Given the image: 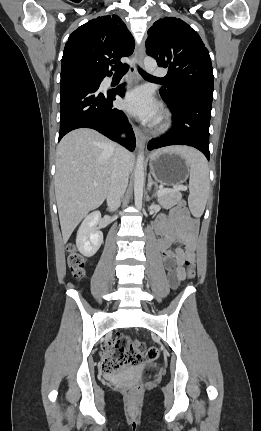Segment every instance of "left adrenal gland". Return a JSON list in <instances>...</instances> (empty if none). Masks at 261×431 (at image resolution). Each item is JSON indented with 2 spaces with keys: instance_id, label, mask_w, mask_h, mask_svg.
Returning <instances> with one entry per match:
<instances>
[{
  "instance_id": "left-adrenal-gland-1",
  "label": "left adrenal gland",
  "mask_w": 261,
  "mask_h": 431,
  "mask_svg": "<svg viewBox=\"0 0 261 431\" xmlns=\"http://www.w3.org/2000/svg\"><path fill=\"white\" fill-rule=\"evenodd\" d=\"M154 184V182H153V180H152V178H151V176L149 175L148 176V190L150 191L151 190V186ZM154 197V196H153ZM148 200H149V198H148Z\"/></svg>"
}]
</instances>
